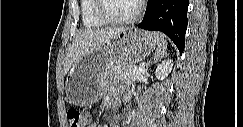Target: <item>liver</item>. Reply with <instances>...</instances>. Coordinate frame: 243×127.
Returning <instances> with one entry per match:
<instances>
[{
  "label": "liver",
  "mask_w": 243,
  "mask_h": 127,
  "mask_svg": "<svg viewBox=\"0 0 243 127\" xmlns=\"http://www.w3.org/2000/svg\"><path fill=\"white\" fill-rule=\"evenodd\" d=\"M127 28L86 29L78 32L69 45L64 63V75L72 65L84 56L100 49L112 38L124 32Z\"/></svg>",
  "instance_id": "liver-1"
}]
</instances>
